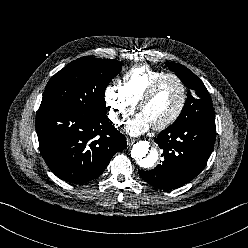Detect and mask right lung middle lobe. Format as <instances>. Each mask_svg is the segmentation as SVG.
<instances>
[{
	"label": "right lung middle lobe",
	"instance_id": "1",
	"mask_svg": "<svg viewBox=\"0 0 248 248\" xmlns=\"http://www.w3.org/2000/svg\"><path fill=\"white\" fill-rule=\"evenodd\" d=\"M114 59L81 57L66 65L48 82L40 108H64L94 116H106L104 94L121 71Z\"/></svg>",
	"mask_w": 248,
	"mask_h": 248
}]
</instances>
